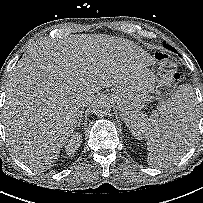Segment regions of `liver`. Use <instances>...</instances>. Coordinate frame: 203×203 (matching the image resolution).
Wrapping results in <instances>:
<instances>
[{
    "label": "liver",
    "instance_id": "liver-1",
    "mask_svg": "<svg viewBox=\"0 0 203 203\" xmlns=\"http://www.w3.org/2000/svg\"><path fill=\"white\" fill-rule=\"evenodd\" d=\"M151 64L146 51L122 38L39 39L6 82L4 125L16 157L33 170L49 169L80 122L81 102L89 105L101 88L114 90ZM167 131L173 143L188 138L179 127Z\"/></svg>",
    "mask_w": 203,
    "mask_h": 203
}]
</instances>
